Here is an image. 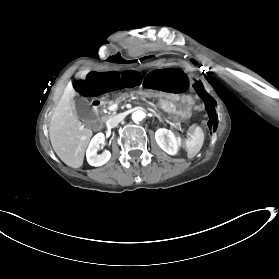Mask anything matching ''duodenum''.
Wrapping results in <instances>:
<instances>
[{"mask_svg":"<svg viewBox=\"0 0 279 279\" xmlns=\"http://www.w3.org/2000/svg\"><path fill=\"white\" fill-rule=\"evenodd\" d=\"M134 95L136 97H143V98H151V99H154L156 97V94L154 92H150V91H141V90H136L134 92ZM89 102H90V107L92 109V111L96 112V113H99L101 111H103L104 107H105V104L103 102V100H101L98 96L96 95H93L90 97L89 99Z\"/></svg>","mask_w":279,"mask_h":279,"instance_id":"1","label":"duodenum"}]
</instances>
